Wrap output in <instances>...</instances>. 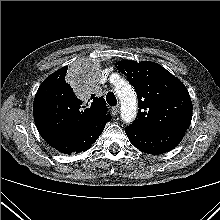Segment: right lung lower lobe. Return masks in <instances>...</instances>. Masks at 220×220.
<instances>
[{"label": "right lung lower lobe", "mask_w": 220, "mask_h": 220, "mask_svg": "<svg viewBox=\"0 0 220 220\" xmlns=\"http://www.w3.org/2000/svg\"><path fill=\"white\" fill-rule=\"evenodd\" d=\"M109 120L108 118H101L80 131L55 138L43 139L51 147L63 154L84 152L98 139Z\"/></svg>", "instance_id": "98d812e1"}]
</instances>
